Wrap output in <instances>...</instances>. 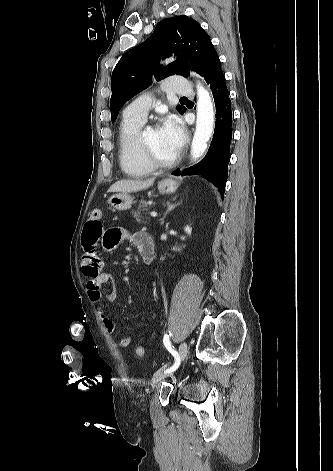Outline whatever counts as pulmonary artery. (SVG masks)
Returning a JSON list of instances; mask_svg holds the SVG:
<instances>
[{
  "label": "pulmonary artery",
  "mask_w": 333,
  "mask_h": 471,
  "mask_svg": "<svg viewBox=\"0 0 333 471\" xmlns=\"http://www.w3.org/2000/svg\"><path fill=\"white\" fill-rule=\"evenodd\" d=\"M165 89L175 95H191L193 87L190 82L182 76H172L166 81ZM152 99L148 95H142L132 101L124 110L123 115L127 118L146 120Z\"/></svg>",
  "instance_id": "pulmonary-artery-1"
}]
</instances>
